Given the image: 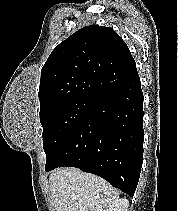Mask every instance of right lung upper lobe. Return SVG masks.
<instances>
[{
	"instance_id": "cb5924a9",
	"label": "right lung upper lobe",
	"mask_w": 178,
	"mask_h": 211,
	"mask_svg": "<svg viewBox=\"0 0 178 211\" xmlns=\"http://www.w3.org/2000/svg\"><path fill=\"white\" fill-rule=\"evenodd\" d=\"M136 75L134 58L112 28L86 26L61 42L44 64L40 110L74 98L98 99Z\"/></svg>"
}]
</instances>
